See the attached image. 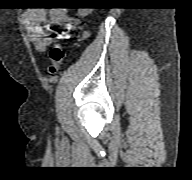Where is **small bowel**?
I'll list each match as a JSON object with an SVG mask.
<instances>
[{"label": "small bowel", "mask_w": 192, "mask_h": 180, "mask_svg": "<svg viewBox=\"0 0 192 180\" xmlns=\"http://www.w3.org/2000/svg\"><path fill=\"white\" fill-rule=\"evenodd\" d=\"M87 9L79 11L80 16H86ZM22 20L29 33V40L34 49L38 52H45L52 41L48 31L55 26H64L67 30H73L79 24V19L71 17L63 8H54L49 11L39 9L26 10L22 15ZM84 37L88 33L83 34Z\"/></svg>", "instance_id": "1"}]
</instances>
